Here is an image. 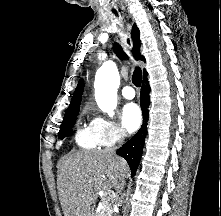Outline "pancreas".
I'll return each instance as SVG.
<instances>
[{
    "mask_svg": "<svg viewBox=\"0 0 221 216\" xmlns=\"http://www.w3.org/2000/svg\"><path fill=\"white\" fill-rule=\"evenodd\" d=\"M107 201V199H103L100 210L95 212L94 216H112L111 206Z\"/></svg>",
    "mask_w": 221,
    "mask_h": 216,
    "instance_id": "1",
    "label": "pancreas"
}]
</instances>
